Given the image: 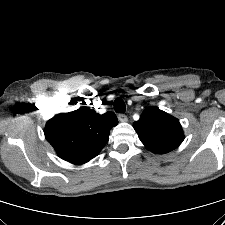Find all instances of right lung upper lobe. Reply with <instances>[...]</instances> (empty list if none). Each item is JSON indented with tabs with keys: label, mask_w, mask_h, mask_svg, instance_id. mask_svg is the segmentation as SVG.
I'll return each instance as SVG.
<instances>
[{
	"label": "right lung upper lobe",
	"mask_w": 225,
	"mask_h": 225,
	"mask_svg": "<svg viewBox=\"0 0 225 225\" xmlns=\"http://www.w3.org/2000/svg\"><path fill=\"white\" fill-rule=\"evenodd\" d=\"M117 124L113 112L100 115L80 107L55 115L47 122L44 133L60 158L81 165L98 155L109 139V131Z\"/></svg>",
	"instance_id": "1"
}]
</instances>
